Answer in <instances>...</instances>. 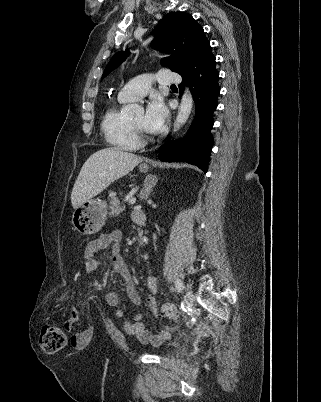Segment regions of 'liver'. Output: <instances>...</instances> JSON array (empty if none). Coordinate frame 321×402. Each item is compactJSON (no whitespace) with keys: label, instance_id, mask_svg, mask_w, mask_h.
Listing matches in <instances>:
<instances>
[{"label":"liver","instance_id":"6515ba94","mask_svg":"<svg viewBox=\"0 0 321 402\" xmlns=\"http://www.w3.org/2000/svg\"><path fill=\"white\" fill-rule=\"evenodd\" d=\"M143 159L116 147L93 153L82 166L75 181L71 203L76 209L98 195L115 180L125 176Z\"/></svg>","mask_w":321,"mask_h":402}]
</instances>
